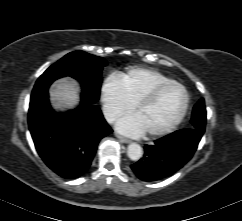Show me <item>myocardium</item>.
Listing matches in <instances>:
<instances>
[{
  "instance_id": "f54148a6",
  "label": "myocardium",
  "mask_w": 242,
  "mask_h": 221,
  "mask_svg": "<svg viewBox=\"0 0 242 221\" xmlns=\"http://www.w3.org/2000/svg\"><path fill=\"white\" fill-rule=\"evenodd\" d=\"M171 86H176V87H179L182 89V91L184 93L183 106H182L179 114L177 115V117L169 125H167L166 127L162 128L160 130H157V131L146 132L145 135L147 137L156 138V137H161V136H164V135L172 132L182 122V120L184 119V117L188 111L190 98H189V93H188L187 89L181 83L171 80V81H168L165 83L158 84L155 87H153L146 95H144L134 105L133 112L135 113L138 110L151 104L164 89L171 87Z\"/></svg>"
}]
</instances>
